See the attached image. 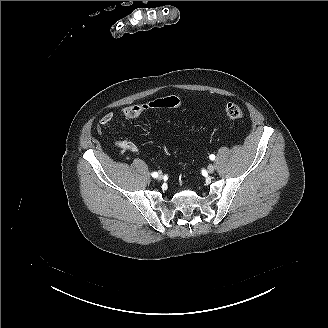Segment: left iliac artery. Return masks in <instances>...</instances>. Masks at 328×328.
Here are the masks:
<instances>
[{
	"label": "left iliac artery",
	"mask_w": 328,
	"mask_h": 328,
	"mask_svg": "<svg viewBox=\"0 0 328 328\" xmlns=\"http://www.w3.org/2000/svg\"><path fill=\"white\" fill-rule=\"evenodd\" d=\"M209 158H210L211 160H215V155L211 154V155L209 156Z\"/></svg>",
	"instance_id": "1"
}]
</instances>
